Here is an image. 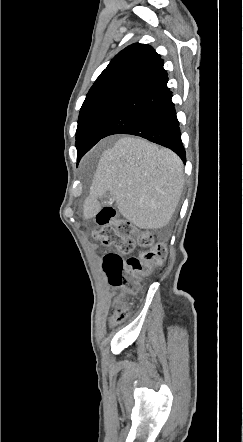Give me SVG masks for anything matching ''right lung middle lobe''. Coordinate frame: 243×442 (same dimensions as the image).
<instances>
[{
	"instance_id": "1",
	"label": "right lung middle lobe",
	"mask_w": 243,
	"mask_h": 442,
	"mask_svg": "<svg viewBox=\"0 0 243 442\" xmlns=\"http://www.w3.org/2000/svg\"><path fill=\"white\" fill-rule=\"evenodd\" d=\"M126 95L124 93H112L84 101L80 109L76 131L77 162L84 155L86 147L100 122Z\"/></svg>"
}]
</instances>
